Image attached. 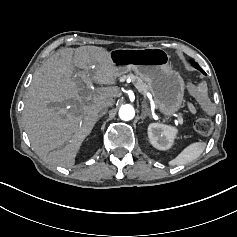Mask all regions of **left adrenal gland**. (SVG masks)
<instances>
[{
  "label": "left adrenal gland",
  "instance_id": "1",
  "mask_svg": "<svg viewBox=\"0 0 237 237\" xmlns=\"http://www.w3.org/2000/svg\"><path fill=\"white\" fill-rule=\"evenodd\" d=\"M147 116H150V117H151V114H150L149 109H148V107L146 106L145 102L143 101V102H142V113H141V116H140L141 123H143V120H144Z\"/></svg>",
  "mask_w": 237,
  "mask_h": 237
}]
</instances>
